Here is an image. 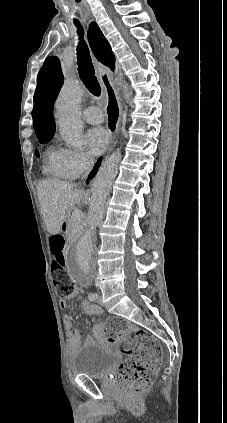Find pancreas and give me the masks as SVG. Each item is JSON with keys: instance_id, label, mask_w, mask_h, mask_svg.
Here are the masks:
<instances>
[{"instance_id": "cf45deb5", "label": "pancreas", "mask_w": 227, "mask_h": 423, "mask_svg": "<svg viewBox=\"0 0 227 423\" xmlns=\"http://www.w3.org/2000/svg\"><path fill=\"white\" fill-rule=\"evenodd\" d=\"M68 239H78L82 233L81 221H74V219H69L67 225Z\"/></svg>"}]
</instances>
